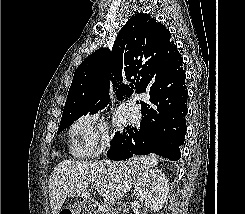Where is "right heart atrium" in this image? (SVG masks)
<instances>
[{
    "instance_id": "d8ad5b80",
    "label": "right heart atrium",
    "mask_w": 245,
    "mask_h": 214,
    "mask_svg": "<svg viewBox=\"0 0 245 214\" xmlns=\"http://www.w3.org/2000/svg\"><path fill=\"white\" fill-rule=\"evenodd\" d=\"M71 151L77 157L101 153L110 142L105 120L96 113L81 114L70 127Z\"/></svg>"
}]
</instances>
